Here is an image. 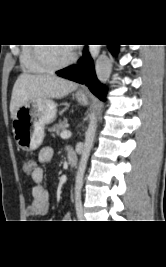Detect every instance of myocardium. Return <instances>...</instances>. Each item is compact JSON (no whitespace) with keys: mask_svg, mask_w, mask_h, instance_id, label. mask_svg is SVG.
I'll list each match as a JSON object with an SVG mask.
<instances>
[{"mask_svg":"<svg viewBox=\"0 0 166 267\" xmlns=\"http://www.w3.org/2000/svg\"><path fill=\"white\" fill-rule=\"evenodd\" d=\"M34 56L38 63L52 71L69 67L77 60V53L73 52L67 61L63 63H54L48 58L43 44H37V46H34Z\"/></svg>","mask_w":166,"mask_h":267,"instance_id":"myocardium-1","label":"myocardium"}]
</instances>
